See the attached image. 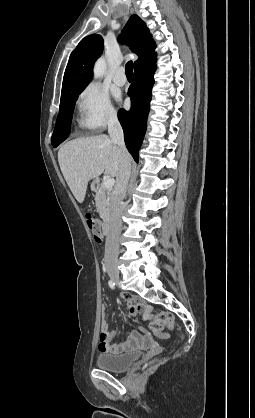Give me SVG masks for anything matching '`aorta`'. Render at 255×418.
I'll return each mask as SVG.
<instances>
[{"label": "aorta", "instance_id": "1", "mask_svg": "<svg viewBox=\"0 0 255 418\" xmlns=\"http://www.w3.org/2000/svg\"><path fill=\"white\" fill-rule=\"evenodd\" d=\"M106 71V63L105 60L103 58H100L97 60V62L95 63L94 66V77L95 78H100L104 75Z\"/></svg>", "mask_w": 255, "mask_h": 418}]
</instances>
